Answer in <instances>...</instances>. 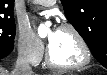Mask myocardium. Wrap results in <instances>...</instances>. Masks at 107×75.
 I'll return each mask as SVG.
<instances>
[{"mask_svg": "<svg viewBox=\"0 0 107 75\" xmlns=\"http://www.w3.org/2000/svg\"><path fill=\"white\" fill-rule=\"evenodd\" d=\"M59 30L69 31L75 36V38L77 39V41L79 42L82 48L83 59L79 63L74 64V65H61V64L56 63L53 60L51 52H50V48H48L47 54H46L47 65L52 69L60 70V71L79 70L87 66L91 61L92 54H91L90 47L86 39L84 38V36L81 34V32L75 26L68 24V23L61 25Z\"/></svg>", "mask_w": 107, "mask_h": 75, "instance_id": "1", "label": "myocardium"}]
</instances>
